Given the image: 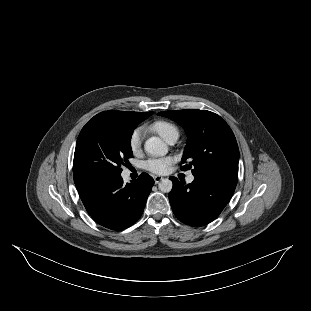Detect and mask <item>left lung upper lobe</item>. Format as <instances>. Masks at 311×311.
Masks as SVG:
<instances>
[{"label": "left lung upper lobe", "instance_id": "obj_1", "mask_svg": "<svg viewBox=\"0 0 311 311\" xmlns=\"http://www.w3.org/2000/svg\"><path fill=\"white\" fill-rule=\"evenodd\" d=\"M185 128L188 139L181 163L194 176L230 171L238 173L239 149L228 124L217 114L196 109L159 112Z\"/></svg>", "mask_w": 311, "mask_h": 311}]
</instances>
